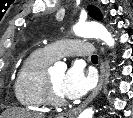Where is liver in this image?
Listing matches in <instances>:
<instances>
[{
    "label": "liver",
    "instance_id": "liver-1",
    "mask_svg": "<svg viewBox=\"0 0 133 118\" xmlns=\"http://www.w3.org/2000/svg\"><path fill=\"white\" fill-rule=\"evenodd\" d=\"M1 117L2 118H44V115L40 112L15 108L5 111Z\"/></svg>",
    "mask_w": 133,
    "mask_h": 118
}]
</instances>
